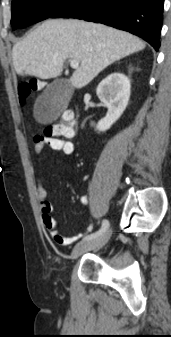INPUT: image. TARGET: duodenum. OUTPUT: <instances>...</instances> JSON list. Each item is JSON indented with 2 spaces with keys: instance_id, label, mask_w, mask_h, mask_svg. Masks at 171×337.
<instances>
[{
  "instance_id": "1",
  "label": "duodenum",
  "mask_w": 171,
  "mask_h": 337,
  "mask_svg": "<svg viewBox=\"0 0 171 337\" xmlns=\"http://www.w3.org/2000/svg\"><path fill=\"white\" fill-rule=\"evenodd\" d=\"M65 115H67L68 118H69L73 123L75 122L76 117H75V114H74L73 112L68 111V112L65 113ZM65 115H64V116H65Z\"/></svg>"
}]
</instances>
